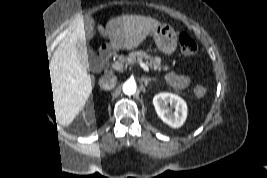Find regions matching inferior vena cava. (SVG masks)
<instances>
[{
	"label": "inferior vena cava",
	"mask_w": 267,
	"mask_h": 178,
	"mask_svg": "<svg viewBox=\"0 0 267 178\" xmlns=\"http://www.w3.org/2000/svg\"><path fill=\"white\" fill-rule=\"evenodd\" d=\"M117 83V78L113 75H105L99 80V85L103 90H112Z\"/></svg>",
	"instance_id": "inferior-vena-cava-1"
}]
</instances>
